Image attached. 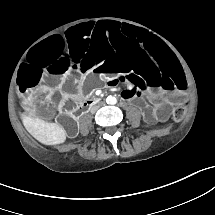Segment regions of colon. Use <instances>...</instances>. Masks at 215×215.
I'll list each match as a JSON object with an SVG mask.
<instances>
[{
    "instance_id": "obj_1",
    "label": "colon",
    "mask_w": 215,
    "mask_h": 215,
    "mask_svg": "<svg viewBox=\"0 0 215 215\" xmlns=\"http://www.w3.org/2000/svg\"><path fill=\"white\" fill-rule=\"evenodd\" d=\"M185 109H186L185 105L179 106V107L174 109V111H173V120L175 122L178 123V122L183 120L184 114H185Z\"/></svg>"
}]
</instances>
